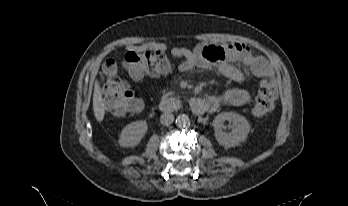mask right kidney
<instances>
[{"instance_id":"obj_1","label":"right kidney","mask_w":348,"mask_h":206,"mask_svg":"<svg viewBox=\"0 0 348 206\" xmlns=\"http://www.w3.org/2000/svg\"><path fill=\"white\" fill-rule=\"evenodd\" d=\"M147 129L145 121H135L126 125L121 131L119 144L123 147H135L140 143Z\"/></svg>"}]
</instances>
